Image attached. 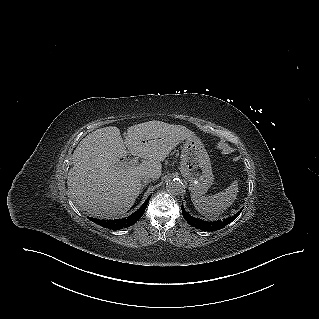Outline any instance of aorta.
Wrapping results in <instances>:
<instances>
[{"mask_svg": "<svg viewBox=\"0 0 319 319\" xmlns=\"http://www.w3.org/2000/svg\"><path fill=\"white\" fill-rule=\"evenodd\" d=\"M167 190L174 195H179L184 191L183 183L178 179L169 180L166 183Z\"/></svg>", "mask_w": 319, "mask_h": 319, "instance_id": "762f6f07", "label": "aorta"}]
</instances>
